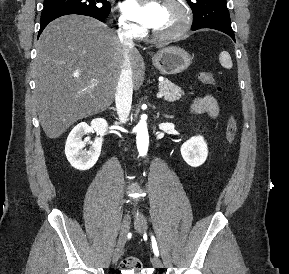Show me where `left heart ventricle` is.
Listing matches in <instances>:
<instances>
[{
    "instance_id": "obj_1",
    "label": "left heart ventricle",
    "mask_w": 289,
    "mask_h": 274,
    "mask_svg": "<svg viewBox=\"0 0 289 274\" xmlns=\"http://www.w3.org/2000/svg\"><path fill=\"white\" fill-rule=\"evenodd\" d=\"M182 22V11L175 4H162L157 22L152 27L159 32H169L176 29Z\"/></svg>"
}]
</instances>
